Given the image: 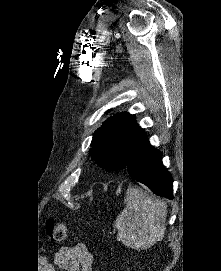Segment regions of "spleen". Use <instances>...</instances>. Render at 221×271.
Masks as SVG:
<instances>
[{
  "instance_id": "3e777b00",
  "label": "spleen",
  "mask_w": 221,
  "mask_h": 271,
  "mask_svg": "<svg viewBox=\"0 0 221 271\" xmlns=\"http://www.w3.org/2000/svg\"><path fill=\"white\" fill-rule=\"evenodd\" d=\"M126 205L115 219L118 241L132 249H148L162 241L166 231L167 205L140 187L127 195Z\"/></svg>"
}]
</instances>
